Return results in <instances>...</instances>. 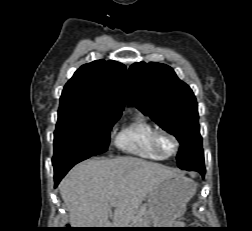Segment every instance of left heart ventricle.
I'll use <instances>...</instances> for the list:
<instances>
[{
    "instance_id": "b2bd125f",
    "label": "left heart ventricle",
    "mask_w": 252,
    "mask_h": 231,
    "mask_svg": "<svg viewBox=\"0 0 252 231\" xmlns=\"http://www.w3.org/2000/svg\"><path fill=\"white\" fill-rule=\"evenodd\" d=\"M160 147L165 154H171L175 149L174 141L166 135L160 138Z\"/></svg>"
}]
</instances>
